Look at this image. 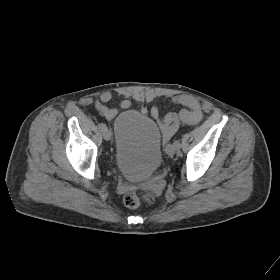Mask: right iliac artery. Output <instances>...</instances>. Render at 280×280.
I'll return each instance as SVG.
<instances>
[{"label":"right iliac artery","instance_id":"1","mask_svg":"<svg viewBox=\"0 0 280 280\" xmlns=\"http://www.w3.org/2000/svg\"><path fill=\"white\" fill-rule=\"evenodd\" d=\"M98 128L103 131L104 129H106V125L104 123H99Z\"/></svg>","mask_w":280,"mask_h":280}]
</instances>
